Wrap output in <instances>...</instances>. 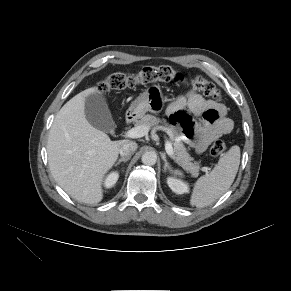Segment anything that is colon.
Segmentation results:
<instances>
[{"label": "colon", "mask_w": 291, "mask_h": 291, "mask_svg": "<svg viewBox=\"0 0 291 291\" xmlns=\"http://www.w3.org/2000/svg\"><path fill=\"white\" fill-rule=\"evenodd\" d=\"M189 81L192 87L203 93L205 96L220 101L222 95L214 83L206 80L201 76L189 77L185 73L175 70L169 66H146L137 73L114 72L98 83V89L101 92L110 90H124L135 88L140 85H148L156 82H183ZM226 150L223 141H215L211 148L212 156H221Z\"/></svg>", "instance_id": "obj_1"}]
</instances>
